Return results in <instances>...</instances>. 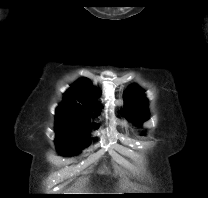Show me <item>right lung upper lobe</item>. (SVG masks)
I'll use <instances>...</instances> for the list:
<instances>
[{"label": "right lung upper lobe", "instance_id": "cb5924a9", "mask_svg": "<svg viewBox=\"0 0 208 198\" xmlns=\"http://www.w3.org/2000/svg\"><path fill=\"white\" fill-rule=\"evenodd\" d=\"M98 91L87 79H79L64 94L63 102L56 109V118L76 119L89 123V119L101 109L99 103L93 102Z\"/></svg>", "mask_w": 208, "mask_h": 198}]
</instances>
